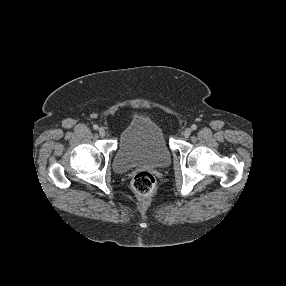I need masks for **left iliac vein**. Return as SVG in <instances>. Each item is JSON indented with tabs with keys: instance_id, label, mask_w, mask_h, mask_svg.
<instances>
[{
	"instance_id": "1",
	"label": "left iliac vein",
	"mask_w": 286,
	"mask_h": 286,
	"mask_svg": "<svg viewBox=\"0 0 286 286\" xmlns=\"http://www.w3.org/2000/svg\"><path fill=\"white\" fill-rule=\"evenodd\" d=\"M191 135V129L187 128L183 131V136L188 138Z\"/></svg>"
}]
</instances>
